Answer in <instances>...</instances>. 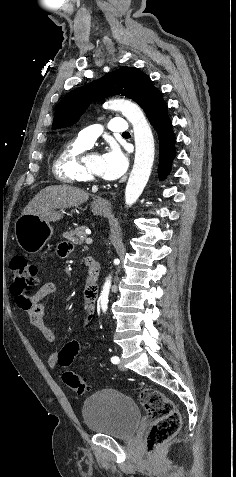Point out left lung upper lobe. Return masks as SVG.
<instances>
[{
	"mask_svg": "<svg viewBox=\"0 0 236 477\" xmlns=\"http://www.w3.org/2000/svg\"><path fill=\"white\" fill-rule=\"evenodd\" d=\"M157 91L149 76L138 68L121 67L67 94L57 106L52 127L70 126L90 102L119 94L133 99L146 112Z\"/></svg>",
	"mask_w": 236,
	"mask_h": 477,
	"instance_id": "left-lung-upper-lobe-1",
	"label": "left lung upper lobe"
}]
</instances>
